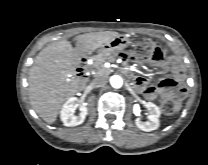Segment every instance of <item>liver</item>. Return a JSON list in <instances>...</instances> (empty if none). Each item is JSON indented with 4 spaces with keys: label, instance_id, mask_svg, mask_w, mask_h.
<instances>
[{
    "label": "liver",
    "instance_id": "6515ba94",
    "mask_svg": "<svg viewBox=\"0 0 208 165\" xmlns=\"http://www.w3.org/2000/svg\"><path fill=\"white\" fill-rule=\"evenodd\" d=\"M118 35L115 31L82 34L74 38L78 48L61 40L38 53L29 72V100L45 122L54 123L62 104L85 88L86 80L76 76L82 55Z\"/></svg>",
    "mask_w": 208,
    "mask_h": 165
}]
</instances>
